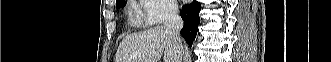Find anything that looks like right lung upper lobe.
Masks as SVG:
<instances>
[{
	"label": "right lung upper lobe",
	"mask_w": 331,
	"mask_h": 62,
	"mask_svg": "<svg viewBox=\"0 0 331 62\" xmlns=\"http://www.w3.org/2000/svg\"><path fill=\"white\" fill-rule=\"evenodd\" d=\"M121 1H123V0H117L116 3L121 2Z\"/></svg>",
	"instance_id": "1"
}]
</instances>
